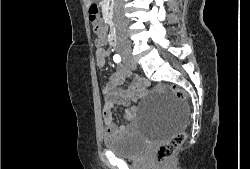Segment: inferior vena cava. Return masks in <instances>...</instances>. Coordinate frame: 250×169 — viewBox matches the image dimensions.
<instances>
[{"mask_svg": "<svg viewBox=\"0 0 250 169\" xmlns=\"http://www.w3.org/2000/svg\"><path fill=\"white\" fill-rule=\"evenodd\" d=\"M113 20L116 26L117 34L125 32L127 24L124 14V0H115Z\"/></svg>", "mask_w": 250, "mask_h": 169, "instance_id": "1", "label": "inferior vena cava"}]
</instances>
